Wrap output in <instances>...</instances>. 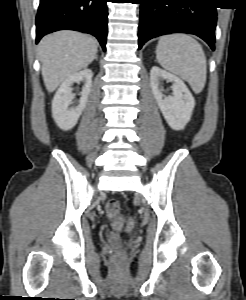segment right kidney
<instances>
[{
	"mask_svg": "<svg viewBox=\"0 0 246 300\" xmlns=\"http://www.w3.org/2000/svg\"><path fill=\"white\" fill-rule=\"evenodd\" d=\"M92 77L93 72L90 69H84L66 78L57 90L52 100V117L62 130H70L77 124L91 91ZM81 81H84V86L79 104L75 108H69L74 99L71 86L73 83H80Z\"/></svg>",
	"mask_w": 246,
	"mask_h": 300,
	"instance_id": "obj_1",
	"label": "right kidney"
}]
</instances>
